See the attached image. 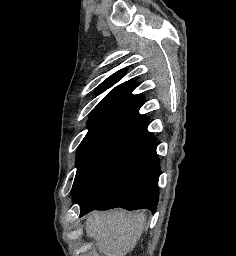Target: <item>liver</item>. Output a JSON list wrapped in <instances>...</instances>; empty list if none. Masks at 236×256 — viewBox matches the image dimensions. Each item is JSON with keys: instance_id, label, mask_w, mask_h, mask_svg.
<instances>
[{"instance_id": "liver-1", "label": "liver", "mask_w": 236, "mask_h": 256, "mask_svg": "<svg viewBox=\"0 0 236 256\" xmlns=\"http://www.w3.org/2000/svg\"><path fill=\"white\" fill-rule=\"evenodd\" d=\"M145 224L144 212L110 210L89 214L85 230L103 256H126L139 242Z\"/></svg>"}]
</instances>
